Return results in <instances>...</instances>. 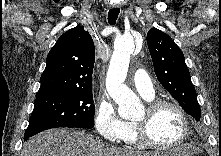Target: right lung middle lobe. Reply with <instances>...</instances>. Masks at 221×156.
Listing matches in <instances>:
<instances>
[{"instance_id":"right-lung-middle-lobe-1","label":"right lung middle lobe","mask_w":221,"mask_h":156,"mask_svg":"<svg viewBox=\"0 0 221 156\" xmlns=\"http://www.w3.org/2000/svg\"><path fill=\"white\" fill-rule=\"evenodd\" d=\"M94 112L92 90L36 98L24 138L50 128H92Z\"/></svg>"}]
</instances>
